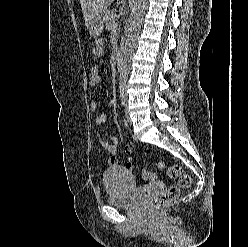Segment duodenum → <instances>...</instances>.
Wrapping results in <instances>:
<instances>
[{"mask_svg": "<svg viewBox=\"0 0 248 247\" xmlns=\"http://www.w3.org/2000/svg\"><path fill=\"white\" fill-rule=\"evenodd\" d=\"M124 56H125V53L122 50L116 54L115 62H116L118 69H120L122 67V64L124 61Z\"/></svg>", "mask_w": 248, "mask_h": 247, "instance_id": "duodenum-1", "label": "duodenum"}]
</instances>
